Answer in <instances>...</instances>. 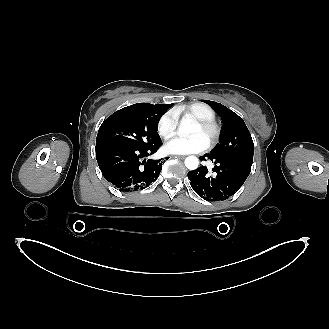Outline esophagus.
Instances as JSON below:
<instances>
[{"label": "esophagus", "mask_w": 329, "mask_h": 329, "mask_svg": "<svg viewBox=\"0 0 329 329\" xmlns=\"http://www.w3.org/2000/svg\"><path fill=\"white\" fill-rule=\"evenodd\" d=\"M176 157L180 158V159H184L185 156L184 155H177Z\"/></svg>", "instance_id": "1"}]
</instances>
